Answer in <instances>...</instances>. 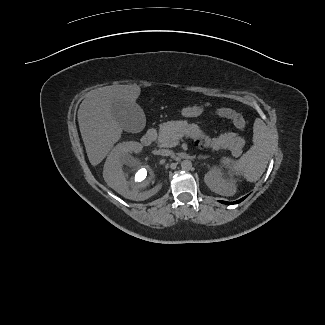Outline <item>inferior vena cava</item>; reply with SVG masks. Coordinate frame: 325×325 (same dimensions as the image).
I'll use <instances>...</instances> for the list:
<instances>
[{"instance_id": "1", "label": "inferior vena cava", "mask_w": 325, "mask_h": 325, "mask_svg": "<svg viewBox=\"0 0 325 325\" xmlns=\"http://www.w3.org/2000/svg\"><path fill=\"white\" fill-rule=\"evenodd\" d=\"M159 154L162 156H173L174 155L173 151L168 150V149L159 150Z\"/></svg>"}]
</instances>
